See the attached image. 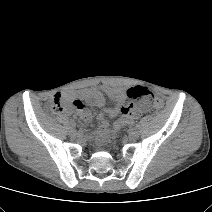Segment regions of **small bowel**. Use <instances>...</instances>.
<instances>
[{
  "instance_id": "1",
  "label": "small bowel",
  "mask_w": 212,
  "mask_h": 212,
  "mask_svg": "<svg viewBox=\"0 0 212 212\" xmlns=\"http://www.w3.org/2000/svg\"><path fill=\"white\" fill-rule=\"evenodd\" d=\"M105 95L110 97L114 103L113 107L109 108L106 113L111 117L119 116V119L115 122L113 129L111 130L105 119V114L100 113L97 116V119L100 122L98 130V135L100 137L105 138L110 136L122 126L131 124L134 120L149 110V103L147 101L125 103V100L128 97V90L108 85L87 88L79 93L70 95H62L59 93L56 96H59L66 101L74 99V101L82 103L83 100L90 105L103 107L105 105ZM77 111L79 116L85 121L91 120V113L84 109V107L77 109Z\"/></svg>"
}]
</instances>
